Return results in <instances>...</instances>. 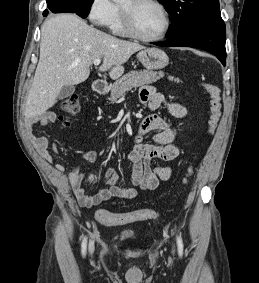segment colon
<instances>
[{"label": "colon", "mask_w": 259, "mask_h": 283, "mask_svg": "<svg viewBox=\"0 0 259 283\" xmlns=\"http://www.w3.org/2000/svg\"><path fill=\"white\" fill-rule=\"evenodd\" d=\"M203 87L210 98L209 118L207 121V133L212 134L219 122L221 115V94L218 87L210 83H204ZM80 110L79 98L73 94L67 97L61 104V112L65 116H73ZM193 173V165H189L183 183H187ZM156 212L151 209H140L127 213H111L101 209L96 212V219L106 226L125 225L136 221L152 219L156 217Z\"/></svg>", "instance_id": "1"}]
</instances>
